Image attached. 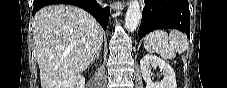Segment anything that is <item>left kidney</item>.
<instances>
[{"label": "left kidney", "mask_w": 227, "mask_h": 88, "mask_svg": "<svg viewBox=\"0 0 227 88\" xmlns=\"http://www.w3.org/2000/svg\"><path fill=\"white\" fill-rule=\"evenodd\" d=\"M140 68L143 79L146 82V88H177L175 72L173 68L155 55L147 54L140 60ZM152 68H159L164 75L158 82L152 81Z\"/></svg>", "instance_id": "1"}]
</instances>
